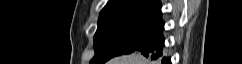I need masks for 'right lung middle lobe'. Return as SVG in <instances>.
I'll return each instance as SVG.
<instances>
[{
  "label": "right lung middle lobe",
  "instance_id": "1",
  "mask_svg": "<svg viewBox=\"0 0 242 64\" xmlns=\"http://www.w3.org/2000/svg\"><path fill=\"white\" fill-rule=\"evenodd\" d=\"M161 13H118L99 19L94 36L95 56L90 64L137 50L163 25Z\"/></svg>",
  "mask_w": 242,
  "mask_h": 64
}]
</instances>
